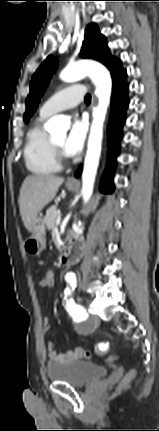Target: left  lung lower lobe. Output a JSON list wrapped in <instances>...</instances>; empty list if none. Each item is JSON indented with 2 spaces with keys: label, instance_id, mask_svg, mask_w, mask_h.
I'll use <instances>...</instances> for the list:
<instances>
[{
  "label": "left lung lower lobe",
  "instance_id": "left-lung-lower-lobe-1",
  "mask_svg": "<svg viewBox=\"0 0 159 431\" xmlns=\"http://www.w3.org/2000/svg\"><path fill=\"white\" fill-rule=\"evenodd\" d=\"M126 76V70L122 67L112 74V110L108 126L109 160L100 186V190L103 193H112L115 189L112 182V174L115 167V159L119 151V140L122 137L121 131L122 125L125 122V110L129 104L127 97L129 85L126 82ZM81 171L82 167L75 172V177H80Z\"/></svg>",
  "mask_w": 159,
  "mask_h": 431
}]
</instances>
